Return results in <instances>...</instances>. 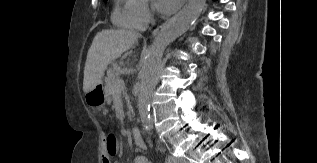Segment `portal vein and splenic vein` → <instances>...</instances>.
I'll return each instance as SVG.
<instances>
[{"instance_id":"1","label":"portal vein and splenic vein","mask_w":317,"mask_h":163,"mask_svg":"<svg viewBox=\"0 0 317 163\" xmlns=\"http://www.w3.org/2000/svg\"><path fill=\"white\" fill-rule=\"evenodd\" d=\"M124 88H125V83H124V81L121 80V79H118V80L116 81V89H117L118 91H122V90H124Z\"/></svg>"}]
</instances>
